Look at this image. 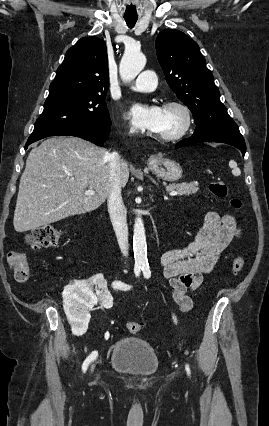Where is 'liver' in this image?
Listing matches in <instances>:
<instances>
[{"mask_svg": "<svg viewBox=\"0 0 269 426\" xmlns=\"http://www.w3.org/2000/svg\"><path fill=\"white\" fill-rule=\"evenodd\" d=\"M123 161L121 186L129 178ZM109 152L79 137H52L34 147L22 173L14 211L16 232L35 230L69 216L91 212L106 200ZM93 189L94 195H85Z\"/></svg>", "mask_w": 269, "mask_h": 426, "instance_id": "obj_1", "label": "liver"}]
</instances>
